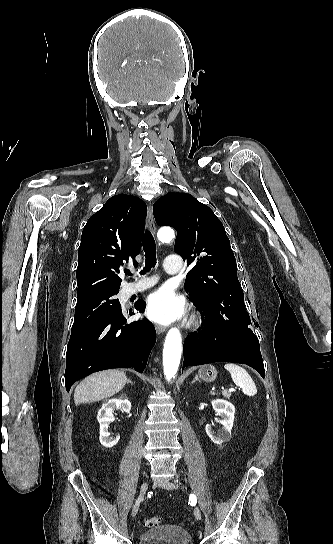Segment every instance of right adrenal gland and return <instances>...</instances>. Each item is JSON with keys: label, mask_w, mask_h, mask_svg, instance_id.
Listing matches in <instances>:
<instances>
[{"label": "right adrenal gland", "mask_w": 333, "mask_h": 544, "mask_svg": "<svg viewBox=\"0 0 333 544\" xmlns=\"http://www.w3.org/2000/svg\"><path fill=\"white\" fill-rule=\"evenodd\" d=\"M127 383L134 384L130 379H128Z\"/></svg>", "instance_id": "1"}]
</instances>
